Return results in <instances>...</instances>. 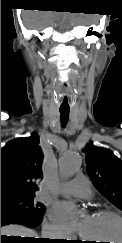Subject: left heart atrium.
<instances>
[{
	"mask_svg": "<svg viewBox=\"0 0 122 243\" xmlns=\"http://www.w3.org/2000/svg\"><path fill=\"white\" fill-rule=\"evenodd\" d=\"M50 216L67 230L82 231L83 221L77 220L75 210L70 203L61 202L54 205L50 211Z\"/></svg>",
	"mask_w": 122,
	"mask_h": 243,
	"instance_id": "left-heart-atrium-1",
	"label": "left heart atrium"
}]
</instances>
